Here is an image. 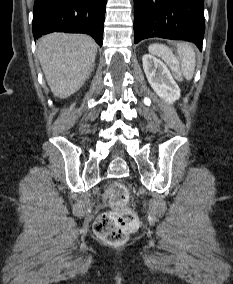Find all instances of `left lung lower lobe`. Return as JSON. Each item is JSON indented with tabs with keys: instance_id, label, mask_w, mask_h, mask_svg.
Returning <instances> with one entry per match:
<instances>
[{
	"instance_id": "1",
	"label": "left lung lower lobe",
	"mask_w": 233,
	"mask_h": 284,
	"mask_svg": "<svg viewBox=\"0 0 233 284\" xmlns=\"http://www.w3.org/2000/svg\"><path fill=\"white\" fill-rule=\"evenodd\" d=\"M135 43L150 37L193 42L202 49L203 0H134Z\"/></svg>"
}]
</instances>
